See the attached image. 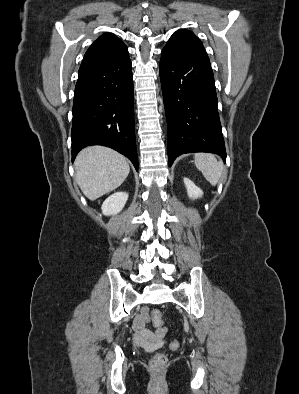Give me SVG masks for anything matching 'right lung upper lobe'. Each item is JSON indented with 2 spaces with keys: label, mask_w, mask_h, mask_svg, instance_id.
<instances>
[{
  "label": "right lung upper lobe",
  "mask_w": 299,
  "mask_h": 394,
  "mask_svg": "<svg viewBox=\"0 0 299 394\" xmlns=\"http://www.w3.org/2000/svg\"><path fill=\"white\" fill-rule=\"evenodd\" d=\"M126 45L113 34L100 36L85 53L80 67L128 58Z\"/></svg>",
  "instance_id": "obj_1"
}]
</instances>
